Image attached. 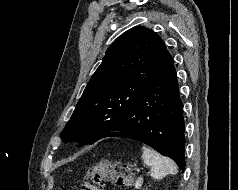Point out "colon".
Segmentation results:
<instances>
[{
    "mask_svg": "<svg viewBox=\"0 0 238 190\" xmlns=\"http://www.w3.org/2000/svg\"><path fill=\"white\" fill-rule=\"evenodd\" d=\"M107 181L130 186L135 181V174L124 163L103 159L89 169L80 190H103Z\"/></svg>",
    "mask_w": 238,
    "mask_h": 190,
    "instance_id": "1",
    "label": "colon"
}]
</instances>
